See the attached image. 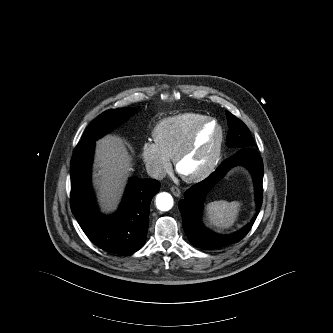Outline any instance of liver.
<instances>
[{
	"instance_id": "liver-1",
	"label": "liver",
	"mask_w": 333,
	"mask_h": 333,
	"mask_svg": "<svg viewBox=\"0 0 333 333\" xmlns=\"http://www.w3.org/2000/svg\"><path fill=\"white\" fill-rule=\"evenodd\" d=\"M95 185L105 208H114L132 168V157L123 140L107 135L97 141Z\"/></svg>"
}]
</instances>
